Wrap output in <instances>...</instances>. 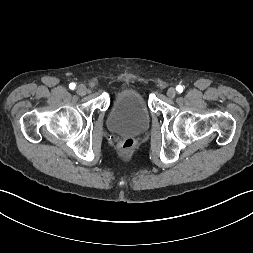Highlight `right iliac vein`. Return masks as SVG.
Segmentation results:
<instances>
[{"instance_id": "obj_1", "label": "right iliac vein", "mask_w": 253, "mask_h": 253, "mask_svg": "<svg viewBox=\"0 0 253 253\" xmlns=\"http://www.w3.org/2000/svg\"><path fill=\"white\" fill-rule=\"evenodd\" d=\"M77 93L81 96H84L87 93V88L85 85L80 84L77 89H76Z\"/></svg>"}]
</instances>
